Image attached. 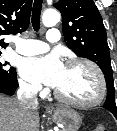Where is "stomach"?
I'll return each instance as SVG.
<instances>
[{
  "label": "stomach",
  "instance_id": "1",
  "mask_svg": "<svg viewBox=\"0 0 117 131\" xmlns=\"http://www.w3.org/2000/svg\"><path fill=\"white\" fill-rule=\"evenodd\" d=\"M53 120L63 126V131H77L81 125L80 115L69 107H59L53 112Z\"/></svg>",
  "mask_w": 117,
  "mask_h": 131
}]
</instances>
